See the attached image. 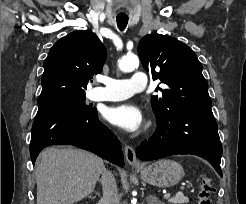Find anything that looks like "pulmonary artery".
<instances>
[{"mask_svg":"<svg viewBox=\"0 0 246 204\" xmlns=\"http://www.w3.org/2000/svg\"><path fill=\"white\" fill-rule=\"evenodd\" d=\"M103 86L94 88L89 98L94 101L124 100L147 87V75L135 72L129 79H113L104 77L99 80Z\"/></svg>","mask_w":246,"mask_h":204,"instance_id":"e3ab8cb5","label":"pulmonary artery"}]
</instances>
